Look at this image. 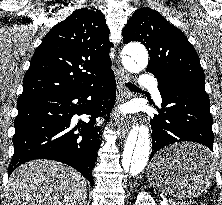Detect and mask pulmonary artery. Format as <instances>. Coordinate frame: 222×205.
<instances>
[{"label":"pulmonary artery","instance_id":"1","mask_svg":"<svg viewBox=\"0 0 222 205\" xmlns=\"http://www.w3.org/2000/svg\"><path fill=\"white\" fill-rule=\"evenodd\" d=\"M140 85L150 89L158 103H161V95L157 89V79L150 74H143L139 81Z\"/></svg>","mask_w":222,"mask_h":205}]
</instances>
